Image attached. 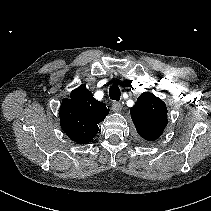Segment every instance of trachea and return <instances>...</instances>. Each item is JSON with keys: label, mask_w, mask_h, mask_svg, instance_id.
I'll return each instance as SVG.
<instances>
[{"label": "trachea", "mask_w": 211, "mask_h": 211, "mask_svg": "<svg viewBox=\"0 0 211 211\" xmlns=\"http://www.w3.org/2000/svg\"><path fill=\"white\" fill-rule=\"evenodd\" d=\"M109 96L112 100L119 101L121 97V92L119 87L114 84L109 88Z\"/></svg>", "instance_id": "1"}]
</instances>
